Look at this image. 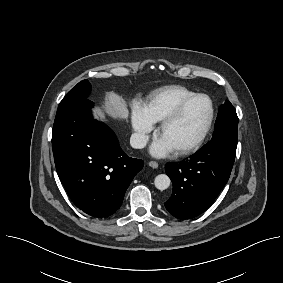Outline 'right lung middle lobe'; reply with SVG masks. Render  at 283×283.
Segmentation results:
<instances>
[{
  "label": "right lung middle lobe",
  "instance_id": "obj_1",
  "mask_svg": "<svg viewBox=\"0 0 283 283\" xmlns=\"http://www.w3.org/2000/svg\"><path fill=\"white\" fill-rule=\"evenodd\" d=\"M91 90V85L87 80L79 82L69 93L64 97V99L59 104L58 109L67 107L71 104L79 102L81 100L87 99Z\"/></svg>",
  "mask_w": 283,
  "mask_h": 283
}]
</instances>
